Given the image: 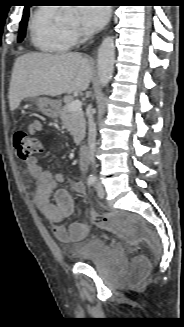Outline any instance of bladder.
<instances>
[{
	"label": "bladder",
	"instance_id": "31cf9c89",
	"mask_svg": "<svg viewBox=\"0 0 184 327\" xmlns=\"http://www.w3.org/2000/svg\"><path fill=\"white\" fill-rule=\"evenodd\" d=\"M71 250L76 254L77 260L80 262L95 264L102 258L111 257L116 261L118 268H128L127 260L101 237H94L86 242L72 246Z\"/></svg>",
	"mask_w": 184,
	"mask_h": 327
}]
</instances>
